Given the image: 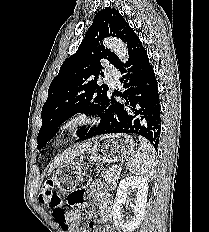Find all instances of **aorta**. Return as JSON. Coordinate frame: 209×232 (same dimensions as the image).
<instances>
[{"label": "aorta", "mask_w": 209, "mask_h": 232, "mask_svg": "<svg viewBox=\"0 0 209 232\" xmlns=\"http://www.w3.org/2000/svg\"><path fill=\"white\" fill-rule=\"evenodd\" d=\"M103 44L106 48L114 52L122 62L128 60V49L127 46L117 38H105Z\"/></svg>", "instance_id": "762f6f07"}]
</instances>
